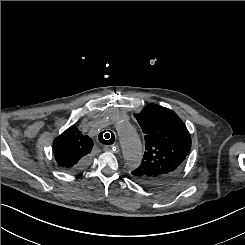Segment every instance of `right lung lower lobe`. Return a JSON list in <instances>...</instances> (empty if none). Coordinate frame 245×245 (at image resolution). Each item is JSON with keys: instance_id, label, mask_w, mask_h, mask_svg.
<instances>
[{"instance_id": "right-lung-lower-lobe-1", "label": "right lung lower lobe", "mask_w": 245, "mask_h": 245, "mask_svg": "<svg viewBox=\"0 0 245 245\" xmlns=\"http://www.w3.org/2000/svg\"><path fill=\"white\" fill-rule=\"evenodd\" d=\"M87 165V158L85 160H83L75 169L73 170H79L84 168Z\"/></svg>"}]
</instances>
